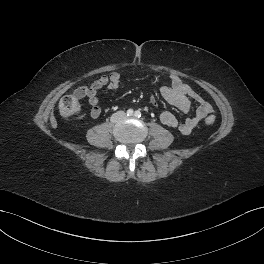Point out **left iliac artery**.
I'll return each instance as SVG.
<instances>
[{
	"instance_id": "left-iliac-artery-1",
	"label": "left iliac artery",
	"mask_w": 264,
	"mask_h": 264,
	"mask_svg": "<svg viewBox=\"0 0 264 264\" xmlns=\"http://www.w3.org/2000/svg\"><path fill=\"white\" fill-rule=\"evenodd\" d=\"M134 115H135V117L139 118V117H141V112L140 111H136Z\"/></svg>"
}]
</instances>
